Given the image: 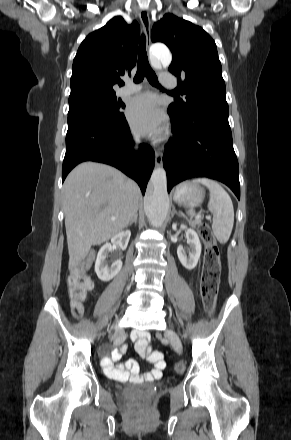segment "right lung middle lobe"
I'll return each mask as SVG.
<instances>
[{
  "label": "right lung middle lobe",
  "mask_w": 291,
  "mask_h": 440,
  "mask_svg": "<svg viewBox=\"0 0 291 440\" xmlns=\"http://www.w3.org/2000/svg\"><path fill=\"white\" fill-rule=\"evenodd\" d=\"M125 105L117 101L115 95L85 96L69 101L68 117L77 114L97 116L105 120H115L123 115Z\"/></svg>",
  "instance_id": "right-lung-middle-lobe-1"
}]
</instances>
